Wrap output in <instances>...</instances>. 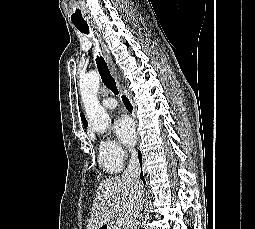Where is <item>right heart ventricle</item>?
Returning a JSON list of instances; mask_svg holds the SVG:
<instances>
[{
  "label": "right heart ventricle",
  "mask_w": 255,
  "mask_h": 229,
  "mask_svg": "<svg viewBox=\"0 0 255 229\" xmlns=\"http://www.w3.org/2000/svg\"><path fill=\"white\" fill-rule=\"evenodd\" d=\"M100 159H101V158H100ZM101 162H102L103 167H104L106 170L110 171V172H118V171H120L121 168H122V166H114V167H112V166H107V165H105V164L103 163L102 159H101Z\"/></svg>",
  "instance_id": "1"
}]
</instances>
